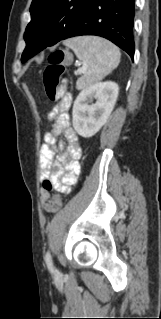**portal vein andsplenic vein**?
<instances>
[{"label": "portal vein and splenic vein", "mask_w": 161, "mask_h": 319, "mask_svg": "<svg viewBox=\"0 0 161 319\" xmlns=\"http://www.w3.org/2000/svg\"><path fill=\"white\" fill-rule=\"evenodd\" d=\"M86 72V69L85 68H80L76 71V75H79V74H82V73H85Z\"/></svg>", "instance_id": "portal-vein-and-splenic-vein-1"}]
</instances>
